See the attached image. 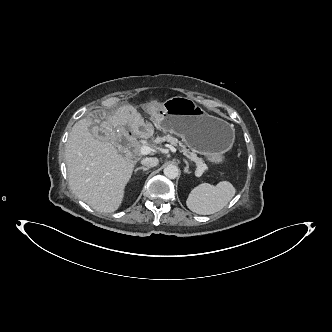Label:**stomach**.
<instances>
[{"label":"stomach","instance_id":"0dacf381","mask_svg":"<svg viewBox=\"0 0 332 332\" xmlns=\"http://www.w3.org/2000/svg\"><path fill=\"white\" fill-rule=\"evenodd\" d=\"M155 126L174 134L186 145L214 164L223 162V154L233 145L235 130L227 121L207 114L192 100L177 96L166 100Z\"/></svg>","mask_w":332,"mask_h":332}]
</instances>
